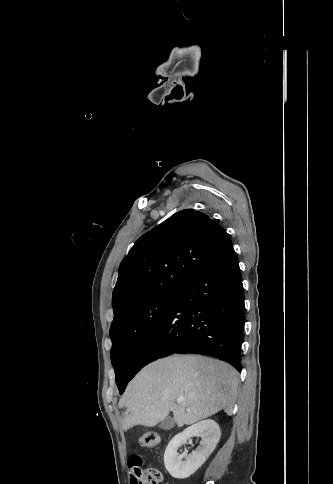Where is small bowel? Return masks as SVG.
Masks as SVG:
<instances>
[{
    "instance_id": "1",
    "label": "small bowel",
    "mask_w": 333,
    "mask_h": 484,
    "mask_svg": "<svg viewBox=\"0 0 333 484\" xmlns=\"http://www.w3.org/2000/svg\"><path fill=\"white\" fill-rule=\"evenodd\" d=\"M131 472V484H139L143 461L140 456L134 455L128 461Z\"/></svg>"
}]
</instances>
